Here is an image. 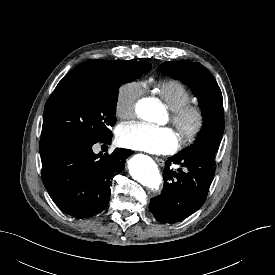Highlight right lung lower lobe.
<instances>
[{
  "mask_svg": "<svg viewBox=\"0 0 275 275\" xmlns=\"http://www.w3.org/2000/svg\"><path fill=\"white\" fill-rule=\"evenodd\" d=\"M111 139L102 141L110 144ZM91 144L60 146L41 154L43 183L54 203L65 213L86 218L103 211L111 183L133 153L116 148L112 154H95Z\"/></svg>",
  "mask_w": 275,
  "mask_h": 275,
  "instance_id": "right-lung-lower-lobe-1",
  "label": "right lung lower lobe"
}]
</instances>
